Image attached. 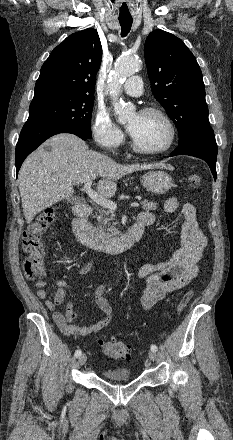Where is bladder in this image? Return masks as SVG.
Here are the masks:
<instances>
[{"label": "bladder", "instance_id": "obj_1", "mask_svg": "<svg viewBox=\"0 0 233 440\" xmlns=\"http://www.w3.org/2000/svg\"><path fill=\"white\" fill-rule=\"evenodd\" d=\"M104 377L110 381L123 382L130 379V372L128 369H107L104 372Z\"/></svg>", "mask_w": 233, "mask_h": 440}]
</instances>
